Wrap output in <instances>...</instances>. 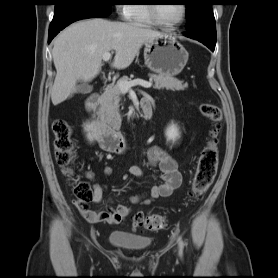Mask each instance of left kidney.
I'll return each mask as SVG.
<instances>
[{
  "label": "left kidney",
  "mask_w": 278,
  "mask_h": 278,
  "mask_svg": "<svg viewBox=\"0 0 278 278\" xmlns=\"http://www.w3.org/2000/svg\"><path fill=\"white\" fill-rule=\"evenodd\" d=\"M165 135L168 141L175 142L177 139L180 138L179 128L176 124L171 123L165 131Z\"/></svg>",
  "instance_id": "left-kidney-1"
}]
</instances>
